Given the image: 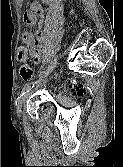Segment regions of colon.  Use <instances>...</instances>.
Listing matches in <instances>:
<instances>
[{
	"instance_id": "5ec220e1",
	"label": "colon",
	"mask_w": 123,
	"mask_h": 167,
	"mask_svg": "<svg viewBox=\"0 0 123 167\" xmlns=\"http://www.w3.org/2000/svg\"><path fill=\"white\" fill-rule=\"evenodd\" d=\"M18 58L22 62L20 67V75L23 80H29L34 76V70L31 64L28 61L29 58V50L26 46H20L18 48ZM73 95L81 96L85 92V87L83 85L73 86L71 89Z\"/></svg>"
}]
</instances>
